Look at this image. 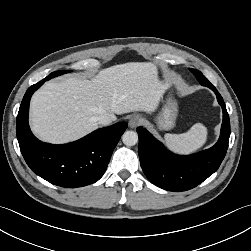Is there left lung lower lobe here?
<instances>
[{
    "mask_svg": "<svg viewBox=\"0 0 251 251\" xmlns=\"http://www.w3.org/2000/svg\"><path fill=\"white\" fill-rule=\"evenodd\" d=\"M200 84L215 92L223 110L220 137L213 147L180 156L168 151L143 127L137 128L142 170L150 182L168 191L181 192L199 185L219 168L228 148L230 121L223 98L210 82Z\"/></svg>",
    "mask_w": 251,
    "mask_h": 251,
    "instance_id": "left-lung-lower-lobe-1",
    "label": "left lung lower lobe"
}]
</instances>
